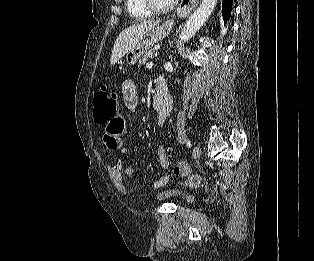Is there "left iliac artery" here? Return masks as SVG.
<instances>
[{"label":"left iliac artery","instance_id":"left-iliac-artery-1","mask_svg":"<svg viewBox=\"0 0 314 261\" xmlns=\"http://www.w3.org/2000/svg\"><path fill=\"white\" fill-rule=\"evenodd\" d=\"M186 145H187L188 148H190L192 146V143H191V141L189 139L186 140Z\"/></svg>","mask_w":314,"mask_h":261}]
</instances>
